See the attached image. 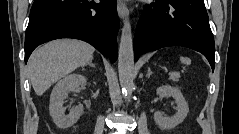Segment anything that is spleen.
Segmentation results:
<instances>
[{
  "label": "spleen",
  "instance_id": "3e777b00",
  "mask_svg": "<svg viewBox=\"0 0 239 134\" xmlns=\"http://www.w3.org/2000/svg\"><path fill=\"white\" fill-rule=\"evenodd\" d=\"M180 61H181L182 64H185V65H190L191 64V60L187 57L180 58Z\"/></svg>",
  "mask_w": 239,
  "mask_h": 134
}]
</instances>
